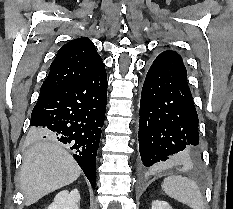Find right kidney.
I'll return each instance as SVG.
<instances>
[{
  "instance_id": "obj_1",
  "label": "right kidney",
  "mask_w": 233,
  "mask_h": 209,
  "mask_svg": "<svg viewBox=\"0 0 233 209\" xmlns=\"http://www.w3.org/2000/svg\"><path fill=\"white\" fill-rule=\"evenodd\" d=\"M80 194L78 189L59 192L47 209H79Z\"/></svg>"
}]
</instances>
